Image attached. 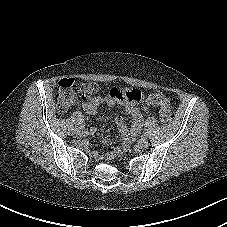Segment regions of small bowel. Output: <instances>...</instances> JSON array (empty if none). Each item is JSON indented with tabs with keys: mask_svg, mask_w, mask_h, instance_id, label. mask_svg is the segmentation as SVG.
I'll return each instance as SVG.
<instances>
[{
	"mask_svg": "<svg viewBox=\"0 0 227 227\" xmlns=\"http://www.w3.org/2000/svg\"><path fill=\"white\" fill-rule=\"evenodd\" d=\"M142 102L143 93L139 88H132L131 90L113 88L104 96H96L92 100L84 102L83 109L88 115L94 116L102 106L114 108L116 105H120L133 118L130 129L126 127L121 116H117L115 119L121 135L129 142L138 135L143 126L146 109L140 106ZM104 143L108 144L109 142L105 139ZM113 155L114 153L110 154V156Z\"/></svg>",
	"mask_w": 227,
	"mask_h": 227,
	"instance_id": "obj_1",
	"label": "small bowel"
}]
</instances>
